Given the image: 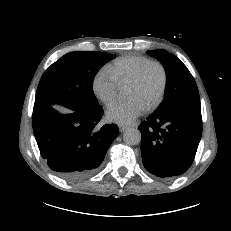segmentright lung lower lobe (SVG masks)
<instances>
[{
  "label": "right lung lower lobe",
  "mask_w": 231,
  "mask_h": 231,
  "mask_svg": "<svg viewBox=\"0 0 231 231\" xmlns=\"http://www.w3.org/2000/svg\"><path fill=\"white\" fill-rule=\"evenodd\" d=\"M68 112L61 114L50 104L38 101L32 123L40 154L48 166L62 178L74 181L97 170L119 130L115 124L96 127L103 115L100 106Z\"/></svg>",
  "instance_id": "obj_1"
}]
</instances>
